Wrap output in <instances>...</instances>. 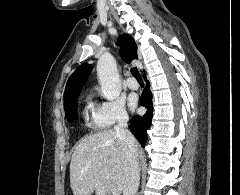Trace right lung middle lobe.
Here are the masks:
<instances>
[{
  "instance_id": "dd1d6c3e",
  "label": "right lung middle lobe",
  "mask_w": 240,
  "mask_h": 195,
  "mask_svg": "<svg viewBox=\"0 0 240 195\" xmlns=\"http://www.w3.org/2000/svg\"><path fill=\"white\" fill-rule=\"evenodd\" d=\"M66 118L68 121L77 119V100L71 102L68 106H65Z\"/></svg>"
}]
</instances>
